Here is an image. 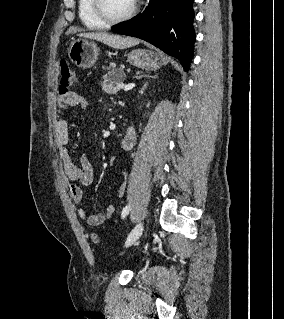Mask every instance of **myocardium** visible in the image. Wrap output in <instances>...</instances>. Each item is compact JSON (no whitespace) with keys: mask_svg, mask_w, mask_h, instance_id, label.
Segmentation results:
<instances>
[{"mask_svg":"<svg viewBox=\"0 0 284 319\" xmlns=\"http://www.w3.org/2000/svg\"><path fill=\"white\" fill-rule=\"evenodd\" d=\"M93 9L97 17L102 20L106 25H114L129 20L136 12L137 0H133L132 6L128 12L119 17H112L108 14L105 7V0H92Z\"/></svg>","mask_w":284,"mask_h":319,"instance_id":"myocardium-1","label":"myocardium"}]
</instances>
